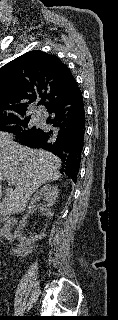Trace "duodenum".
I'll list each match as a JSON object with an SVG mask.
<instances>
[{
	"label": "duodenum",
	"instance_id": "410a0bca",
	"mask_svg": "<svg viewBox=\"0 0 118 320\" xmlns=\"http://www.w3.org/2000/svg\"><path fill=\"white\" fill-rule=\"evenodd\" d=\"M16 225V220L13 218H5L0 229V236L7 241H13L15 239L13 228Z\"/></svg>",
	"mask_w": 118,
	"mask_h": 320
}]
</instances>
